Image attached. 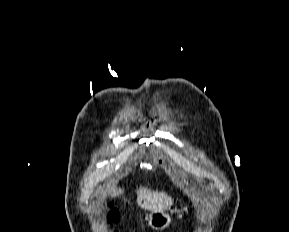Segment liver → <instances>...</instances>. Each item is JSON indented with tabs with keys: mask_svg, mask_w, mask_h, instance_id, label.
Here are the masks:
<instances>
[{
	"mask_svg": "<svg viewBox=\"0 0 289 232\" xmlns=\"http://www.w3.org/2000/svg\"><path fill=\"white\" fill-rule=\"evenodd\" d=\"M123 191V189L113 186L107 188L104 194L116 197L121 195ZM137 203L141 208L148 211H165L170 209L173 200L163 191H152L141 187L137 190Z\"/></svg>",
	"mask_w": 289,
	"mask_h": 232,
	"instance_id": "1",
	"label": "liver"
}]
</instances>
